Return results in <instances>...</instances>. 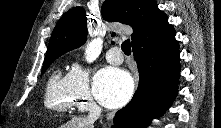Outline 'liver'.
Returning <instances> with one entry per match:
<instances>
[{
	"mask_svg": "<svg viewBox=\"0 0 221 128\" xmlns=\"http://www.w3.org/2000/svg\"><path fill=\"white\" fill-rule=\"evenodd\" d=\"M61 128H94L93 121H89L88 118L73 117Z\"/></svg>",
	"mask_w": 221,
	"mask_h": 128,
	"instance_id": "6515ba94",
	"label": "liver"
}]
</instances>
